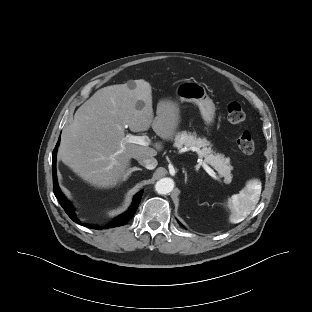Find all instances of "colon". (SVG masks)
<instances>
[{"mask_svg":"<svg viewBox=\"0 0 312 312\" xmlns=\"http://www.w3.org/2000/svg\"><path fill=\"white\" fill-rule=\"evenodd\" d=\"M245 112L242 105L238 102H231L227 106V118L231 124H241L245 120ZM239 149L245 154L253 153L255 143L252 135L248 131H243L237 140Z\"/></svg>","mask_w":312,"mask_h":312,"instance_id":"5ec220e1","label":"colon"}]
</instances>
